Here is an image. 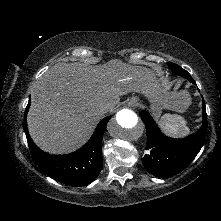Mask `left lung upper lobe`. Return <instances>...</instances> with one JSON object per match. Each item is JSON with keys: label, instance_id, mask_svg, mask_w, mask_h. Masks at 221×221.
<instances>
[{"label": "left lung upper lobe", "instance_id": "left-lung-upper-lobe-1", "mask_svg": "<svg viewBox=\"0 0 221 221\" xmlns=\"http://www.w3.org/2000/svg\"><path fill=\"white\" fill-rule=\"evenodd\" d=\"M169 66V68L176 74L185 77L186 74H188V72L186 70H184L183 68H181L179 65L174 64L169 62L167 64Z\"/></svg>", "mask_w": 221, "mask_h": 221}]
</instances>
